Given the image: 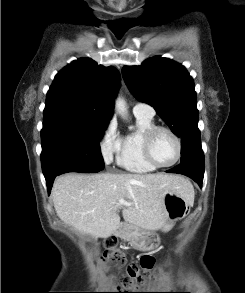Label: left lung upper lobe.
Here are the masks:
<instances>
[{"label": "left lung upper lobe", "instance_id": "obj_1", "mask_svg": "<svg viewBox=\"0 0 245 293\" xmlns=\"http://www.w3.org/2000/svg\"><path fill=\"white\" fill-rule=\"evenodd\" d=\"M122 73L134 96L153 106L181 138V163L203 167L197 96L186 68L170 59L153 57L140 66H124Z\"/></svg>", "mask_w": 245, "mask_h": 293}]
</instances>
